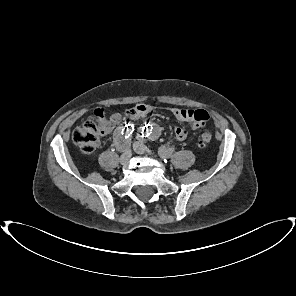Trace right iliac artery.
<instances>
[{
    "label": "right iliac artery",
    "mask_w": 296,
    "mask_h": 296,
    "mask_svg": "<svg viewBox=\"0 0 296 296\" xmlns=\"http://www.w3.org/2000/svg\"><path fill=\"white\" fill-rule=\"evenodd\" d=\"M134 131L133 124H126L125 126L119 127L117 134H116V144L120 151L125 149V139L127 138L128 134H132Z\"/></svg>",
    "instance_id": "right-iliac-artery-1"
}]
</instances>
